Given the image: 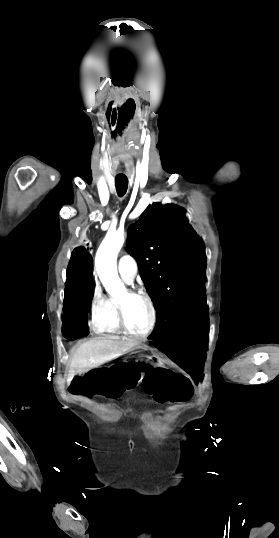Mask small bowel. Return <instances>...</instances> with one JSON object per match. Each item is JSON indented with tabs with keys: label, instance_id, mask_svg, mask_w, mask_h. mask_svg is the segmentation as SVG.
<instances>
[{
	"label": "small bowel",
	"instance_id": "1",
	"mask_svg": "<svg viewBox=\"0 0 279 538\" xmlns=\"http://www.w3.org/2000/svg\"><path fill=\"white\" fill-rule=\"evenodd\" d=\"M142 385L144 391L161 404H182L193 394L188 379L171 370L159 369L148 373Z\"/></svg>",
	"mask_w": 279,
	"mask_h": 538
}]
</instances>
